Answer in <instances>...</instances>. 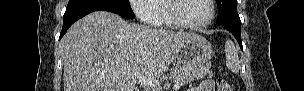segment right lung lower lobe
Instances as JSON below:
<instances>
[{"label":"right lung lower lobe","mask_w":304,"mask_h":91,"mask_svg":"<svg viewBox=\"0 0 304 91\" xmlns=\"http://www.w3.org/2000/svg\"><path fill=\"white\" fill-rule=\"evenodd\" d=\"M99 10L119 14L110 0H69L63 17V28L59 39L63 37L75 21L93 11Z\"/></svg>","instance_id":"right-lung-lower-lobe-1"}]
</instances>
